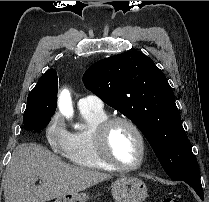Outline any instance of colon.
Here are the masks:
<instances>
[{"label":"colon","instance_id":"colon-1","mask_svg":"<svg viewBox=\"0 0 209 202\" xmlns=\"http://www.w3.org/2000/svg\"><path fill=\"white\" fill-rule=\"evenodd\" d=\"M160 202H179V200L175 197H165Z\"/></svg>","mask_w":209,"mask_h":202}]
</instances>
